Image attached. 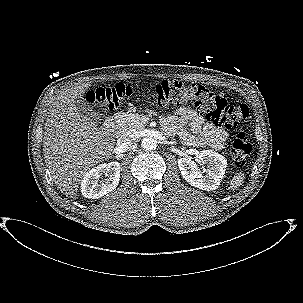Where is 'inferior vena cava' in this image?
I'll return each mask as SVG.
<instances>
[{
	"label": "inferior vena cava",
	"instance_id": "1",
	"mask_svg": "<svg viewBox=\"0 0 303 303\" xmlns=\"http://www.w3.org/2000/svg\"><path fill=\"white\" fill-rule=\"evenodd\" d=\"M120 143L126 150H130L133 146V142L127 134L120 136Z\"/></svg>",
	"mask_w": 303,
	"mask_h": 303
}]
</instances>
